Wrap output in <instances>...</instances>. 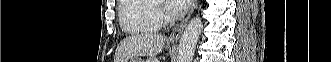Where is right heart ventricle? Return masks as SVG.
<instances>
[{
	"mask_svg": "<svg viewBox=\"0 0 331 62\" xmlns=\"http://www.w3.org/2000/svg\"><path fill=\"white\" fill-rule=\"evenodd\" d=\"M118 18L122 30L130 34L156 32L159 26L154 4L149 0H121Z\"/></svg>",
	"mask_w": 331,
	"mask_h": 62,
	"instance_id": "obj_1",
	"label": "right heart ventricle"
}]
</instances>
